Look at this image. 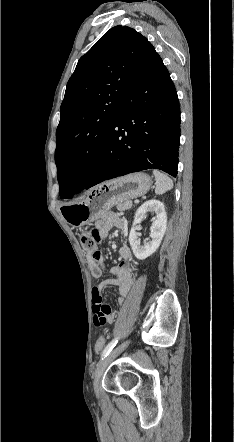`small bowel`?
<instances>
[{
	"label": "small bowel",
	"instance_id": "c3829d8e",
	"mask_svg": "<svg viewBox=\"0 0 234 442\" xmlns=\"http://www.w3.org/2000/svg\"><path fill=\"white\" fill-rule=\"evenodd\" d=\"M111 228L125 229V222L119 215L115 213H107L96 222V230L99 235V239H104L108 236V232ZM119 255L122 258V262L118 265L110 268V273L115 278L107 279L97 285L93 290L101 291L107 286H115L120 295L119 301L123 302L124 297L129 293L134 282V270L128 263V259L131 256V251L128 245L123 244L119 248ZM91 265L97 263L100 268L104 267V257L99 253L98 257L90 255ZM116 314L109 306V311L106 314H93L92 321L95 328H106L108 323L114 322ZM104 342V340H103ZM104 346V345H103Z\"/></svg>",
	"mask_w": 234,
	"mask_h": 442
}]
</instances>
